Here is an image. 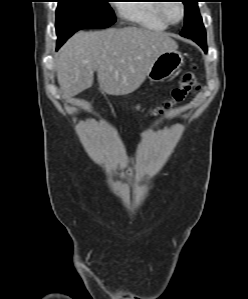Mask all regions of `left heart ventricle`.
<instances>
[{"mask_svg":"<svg viewBox=\"0 0 248 299\" xmlns=\"http://www.w3.org/2000/svg\"><path fill=\"white\" fill-rule=\"evenodd\" d=\"M167 16L172 21H177L181 17V9L178 3H168L165 8Z\"/></svg>","mask_w":248,"mask_h":299,"instance_id":"1","label":"left heart ventricle"}]
</instances>
